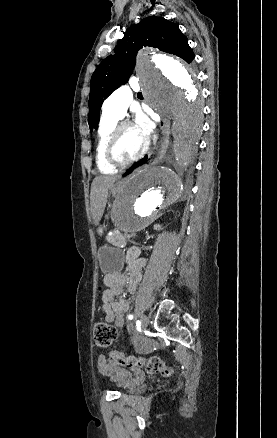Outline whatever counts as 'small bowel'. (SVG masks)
<instances>
[{
  "mask_svg": "<svg viewBox=\"0 0 277 438\" xmlns=\"http://www.w3.org/2000/svg\"><path fill=\"white\" fill-rule=\"evenodd\" d=\"M129 263L128 273H109L105 275L103 284L105 290L102 293L101 311L106 321L114 323L117 327L124 326V316L131 308V301L123 296L124 290L133 293L140 280L141 269L145 265V260L139 257V251L132 248L127 253ZM106 357L101 356L96 363L97 371L108 377L112 382L119 386L130 387L139 383L141 373L126 372L125 368H116L114 363H107Z\"/></svg>",
  "mask_w": 277,
  "mask_h": 438,
  "instance_id": "small-bowel-1",
  "label": "small bowel"
}]
</instances>
